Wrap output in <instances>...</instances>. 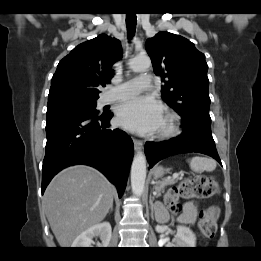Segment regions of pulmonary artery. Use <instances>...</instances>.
<instances>
[{
	"label": "pulmonary artery",
	"mask_w": 261,
	"mask_h": 261,
	"mask_svg": "<svg viewBox=\"0 0 261 261\" xmlns=\"http://www.w3.org/2000/svg\"><path fill=\"white\" fill-rule=\"evenodd\" d=\"M150 87L151 76L149 74H140L105 92L102 96V103L107 104L115 100L131 98L141 90L149 89Z\"/></svg>",
	"instance_id": "obj_1"
}]
</instances>
